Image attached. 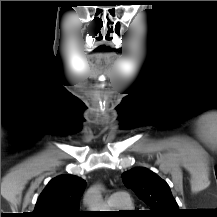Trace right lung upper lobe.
<instances>
[{"mask_svg": "<svg viewBox=\"0 0 217 217\" xmlns=\"http://www.w3.org/2000/svg\"><path fill=\"white\" fill-rule=\"evenodd\" d=\"M85 180L74 175L52 179L40 194L31 217H81L79 199Z\"/></svg>", "mask_w": 217, "mask_h": 217, "instance_id": "obj_1", "label": "right lung upper lobe"}]
</instances>
